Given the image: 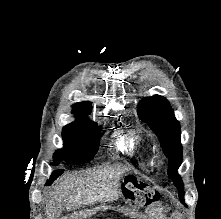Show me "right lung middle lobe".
I'll use <instances>...</instances> for the list:
<instances>
[{
    "mask_svg": "<svg viewBox=\"0 0 221 219\" xmlns=\"http://www.w3.org/2000/svg\"><path fill=\"white\" fill-rule=\"evenodd\" d=\"M64 147L54 154L52 165L61 161L69 164H83L91 161L99 148L100 128L95 122L68 124L62 129Z\"/></svg>",
    "mask_w": 221,
    "mask_h": 219,
    "instance_id": "1",
    "label": "right lung middle lobe"
}]
</instances>
